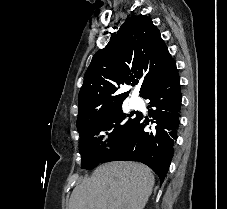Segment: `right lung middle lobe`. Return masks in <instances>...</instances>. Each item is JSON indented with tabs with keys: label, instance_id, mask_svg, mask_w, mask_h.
<instances>
[{
	"label": "right lung middle lobe",
	"instance_id": "right-lung-middle-lobe-1",
	"mask_svg": "<svg viewBox=\"0 0 227 209\" xmlns=\"http://www.w3.org/2000/svg\"><path fill=\"white\" fill-rule=\"evenodd\" d=\"M123 101L124 99L120 98L108 99L104 102L105 110L100 114L77 119V129L81 138L79 151L82 156V168L93 169L101 163L110 148L124 137L134 122V119H127V115L123 113ZM101 131H106L108 135L109 149L105 148L102 137L99 139L93 137Z\"/></svg>",
	"mask_w": 227,
	"mask_h": 209
}]
</instances>
